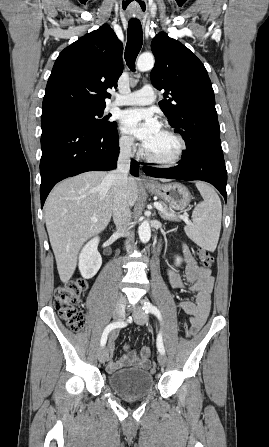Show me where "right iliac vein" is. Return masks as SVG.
Returning <instances> with one entry per match:
<instances>
[{
	"label": "right iliac vein",
	"instance_id": "1",
	"mask_svg": "<svg viewBox=\"0 0 269 447\" xmlns=\"http://www.w3.org/2000/svg\"><path fill=\"white\" fill-rule=\"evenodd\" d=\"M125 306L126 301L124 298H118V303L114 309L113 318L117 321H121L125 318ZM109 356V349L108 347L104 346L99 350L98 353V360L101 363H104Z\"/></svg>",
	"mask_w": 269,
	"mask_h": 447
}]
</instances>
